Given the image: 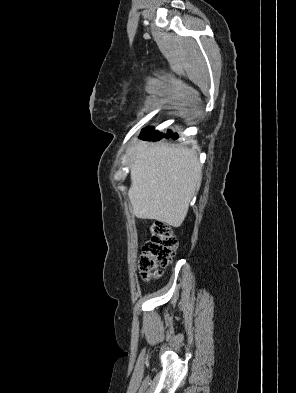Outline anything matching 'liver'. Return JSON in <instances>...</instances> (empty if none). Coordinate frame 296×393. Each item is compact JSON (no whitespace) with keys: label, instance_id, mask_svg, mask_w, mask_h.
Instances as JSON below:
<instances>
[{"label":"liver","instance_id":"6515ba94","mask_svg":"<svg viewBox=\"0 0 296 393\" xmlns=\"http://www.w3.org/2000/svg\"><path fill=\"white\" fill-rule=\"evenodd\" d=\"M129 154L128 197L133 214L140 219L181 226L201 185L202 167L197 155L184 147L141 141L132 146Z\"/></svg>","mask_w":296,"mask_h":393}]
</instances>
